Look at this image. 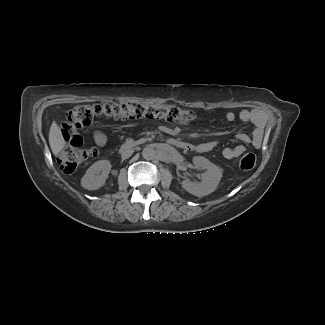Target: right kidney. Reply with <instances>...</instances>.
Returning a JSON list of instances; mask_svg holds the SVG:
<instances>
[{"instance_id": "right-kidney-1", "label": "right kidney", "mask_w": 325, "mask_h": 325, "mask_svg": "<svg viewBox=\"0 0 325 325\" xmlns=\"http://www.w3.org/2000/svg\"><path fill=\"white\" fill-rule=\"evenodd\" d=\"M108 160H100L92 164L81 179V186L87 190H96L102 187L111 171Z\"/></svg>"}]
</instances>
